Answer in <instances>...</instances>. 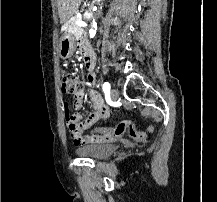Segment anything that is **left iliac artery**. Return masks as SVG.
Wrapping results in <instances>:
<instances>
[{
	"mask_svg": "<svg viewBox=\"0 0 217 202\" xmlns=\"http://www.w3.org/2000/svg\"><path fill=\"white\" fill-rule=\"evenodd\" d=\"M102 88H103V91L104 92H109L110 91V83L109 82H105L104 84H103V86H102Z\"/></svg>",
	"mask_w": 217,
	"mask_h": 202,
	"instance_id": "1",
	"label": "left iliac artery"
}]
</instances>
